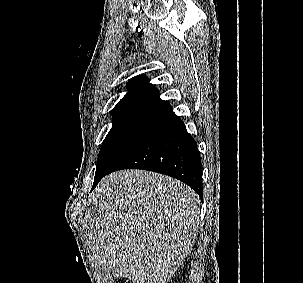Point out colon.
Masks as SVG:
<instances>
[{
	"mask_svg": "<svg viewBox=\"0 0 303 283\" xmlns=\"http://www.w3.org/2000/svg\"><path fill=\"white\" fill-rule=\"evenodd\" d=\"M118 283H131L130 281L126 280V279H119Z\"/></svg>",
	"mask_w": 303,
	"mask_h": 283,
	"instance_id": "obj_1",
	"label": "colon"
}]
</instances>
